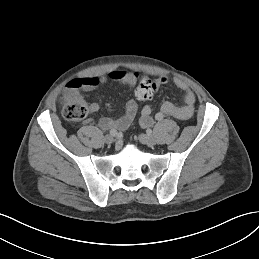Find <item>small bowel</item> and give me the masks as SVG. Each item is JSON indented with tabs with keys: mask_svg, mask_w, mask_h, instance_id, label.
Wrapping results in <instances>:
<instances>
[{
	"mask_svg": "<svg viewBox=\"0 0 259 259\" xmlns=\"http://www.w3.org/2000/svg\"><path fill=\"white\" fill-rule=\"evenodd\" d=\"M140 74L137 72L129 71H112L105 77H87L83 79V89L90 91L102 84L106 83H120L125 84L130 87H135L138 80L140 79ZM143 80H150L147 77H142ZM151 81V80H150ZM169 81L168 77L161 76L153 81H151L157 88L161 85L166 84ZM174 84L184 93V104L176 105L172 102L166 101L161 105V111L166 115L172 116L179 120H187L191 118L195 111V101L196 97L194 92L187 86L185 82L180 79H174ZM101 110V107L97 103H92L89 107L90 113H97ZM138 106L134 100H129L124 107V113L117 119L112 118H102L99 121V126L103 130L114 129L116 131L126 130L134 120ZM152 109L150 106H144L141 111L140 124L143 127H148L152 123Z\"/></svg>",
	"mask_w": 259,
	"mask_h": 259,
	"instance_id": "1",
	"label": "small bowel"
}]
</instances>
